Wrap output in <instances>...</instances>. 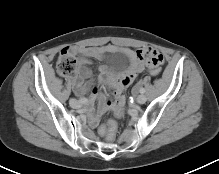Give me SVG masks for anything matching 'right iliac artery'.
I'll use <instances>...</instances> for the list:
<instances>
[{"instance_id": "82829eb1", "label": "right iliac artery", "mask_w": 219, "mask_h": 174, "mask_svg": "<svg viewBox=\"0 0 219 174\" xmlns=\"http://www.w3.org/2000/svg\"><path fill=\"white\" fill-rule=\"evenodd\" d=\"M79 102L82 103V104H87L88 103V99L81 98V99H79Z\"/></svg>"}]
</instances>
